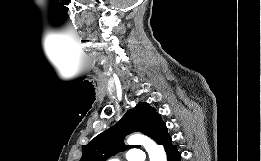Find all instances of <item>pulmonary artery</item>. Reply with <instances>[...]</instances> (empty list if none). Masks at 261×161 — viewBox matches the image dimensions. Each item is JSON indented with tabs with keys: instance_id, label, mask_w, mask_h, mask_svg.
I'll list each match as a JSON object with an SVG mask.
<instances>
[{
	"instance_id": "1",
	"label": "pulmonary artery",
	"mask_w": 261,
	"mask_h": 161,
	"mask_svg": "<svg viewBox=\"0 0 261 161\" xmlns=\"http://www.w3.org/2000/svg\"><path fill=\"white\" fill-rule=\"evenodd\" d=\"M108 161H120V159L118 157H113L110 158ZM129 161H143V156L141 155V153H139L135 157L129 158Z\"/></svg>"
}]
</instances>
